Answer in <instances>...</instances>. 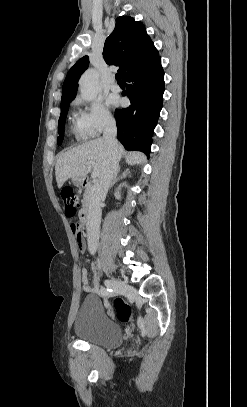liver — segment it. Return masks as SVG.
<instances>
[{"mask_svg":"<svg viewBox=\"0 0 247 407\" xmlns=\"http://www.w3.org/2000/svg\"><path fill=\"white\" fill-rule=\"evenodd\" d=\"M117 153L118 157L124 154L129 165L146 162L144 154L139 152L127 153L120 144L117 146ZM107 159L108 147L103 138L86 142L66 151L58 158L55 166L58 187H62L69 178H85L92 169V166L87 164L88 161L96 163L100 176L106 166Z\"/></svg>","mask_w":247,"mask_h":407,"instance_id":"1","label":"liver"}]
</instances>
